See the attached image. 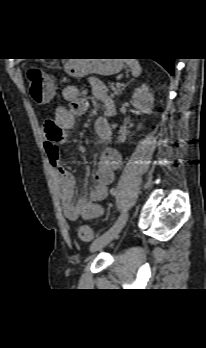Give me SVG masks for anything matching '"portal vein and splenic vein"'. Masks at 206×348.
<instances>
[{"label":"portal vein and splenic vein","instance_id":"1","mask_svg":"<svg viewBox=\"0 0 206 348\" xmlns=\"http://www.w3.org/2000/svg\"><path fill=\"white\" fill-rule=\"evenodd\" d=\"M122 84L121 83H116V87H121Z\"/></svg>","mask_w":206,"mask_h":348}]
</instances>
